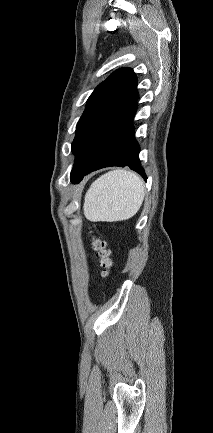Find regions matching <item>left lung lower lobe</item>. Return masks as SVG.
<instances>
[{
    "label": "left lung lower lobe",
    "mask_w": 213,
    "mask_h": 433,
    "mask_svg": "<svg viewBox=\"0 0 213 433\" xmlns=\"http://www.w3.org/2000/svg\"><path fill=\"white\" fill-rule=\"evenodd\" d=\"M136 110L137 104L135 102L114 127L95 157L85 168L71 178L72 182L78 183L88 173L109 166H128L145 180L147 179L139 160L140 148L135 140L132 125Z\"/></svg>",
    "instance_id": "left-lung-lower-lobe-1"
}]
</instances>
